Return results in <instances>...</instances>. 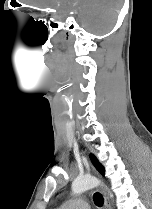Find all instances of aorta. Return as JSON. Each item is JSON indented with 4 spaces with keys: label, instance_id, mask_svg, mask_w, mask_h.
<instances>
[{
    "label": "aorta",
    "instance_id": "1",
    "mask_svg": "<svg viewBox=\"0 0 152 209\" xmlns=\"http://www.w3.org/2000/svg\"><path fill=\"white\" fill-rule=\"evenodd\" d=\"M100 185V181L93 176L77 177L71 185L72 192L74 194L83 193L89 189H93ZM112 197V195L110 194Z\"/></svg>",
    "mask_w": 152,
    "mask_h": 209
}]
</instances>
